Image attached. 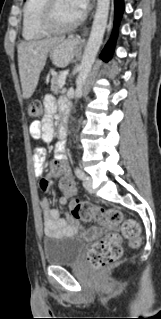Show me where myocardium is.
<instances>
[{
    "mask_svg": "<svg viewBox=\"0 0 161 319\" xmlns=\"http://www.w3.org/2000/svg\"><path fill=\"white\" fill-rule=\"evenodd\" d=\"M56 3L57 0H44L39 17L40 26L48 33L53 34L66 33L74 30L82 22L84 17L83 13H80L79 16L69 24L59 26L54 20Z\"/></svg>",
    "mask_w": 161,
    "mask_h": 319,
    "instance_id": "obj_1",
    "label": "myocardium"
}]
</instances>
